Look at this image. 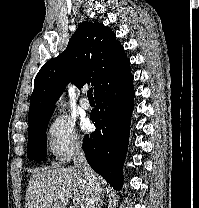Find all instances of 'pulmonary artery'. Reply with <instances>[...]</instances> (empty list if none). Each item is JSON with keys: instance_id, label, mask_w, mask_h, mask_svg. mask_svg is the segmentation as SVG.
I'll return each instance as SVG.
<instances>
[{"instance_id": "obj_1", "label": "pulmonary artery", "mask_w": 199, "mask_h": 208, "mask_svg": "<svg viewBox=\"0 0 199 208\" xmlns=\"http://www.w3.org/2000/svg\"><path fill=\"white\" fill-rule=\"evenodd\" d=\"M79 105H80L81 109H84V110L90 108V102H89L88 98L86 97V95H84V96L80 99Z\"/></svg>"}]
</instances>
